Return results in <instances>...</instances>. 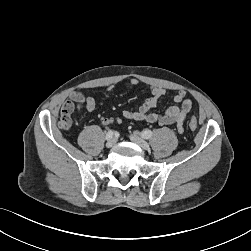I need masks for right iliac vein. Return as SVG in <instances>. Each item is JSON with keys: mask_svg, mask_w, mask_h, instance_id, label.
<instances>
[{"mask_svg": "<svg viewBox=\"0 0 251 251\" xmlns=\"http://www.w3.org/2000/svg\"><path fill=\"white\" fill-rule=\"evenodd\" d=\"M116 143V140L114 138L108 140V142L106 143V147L107 148H111L114 146V144Z\"/></svg>", "mask_w": 251, "mask_h": 251, "instance_id": "obj_1", "label": "right iliac vein"}]
</instances>
